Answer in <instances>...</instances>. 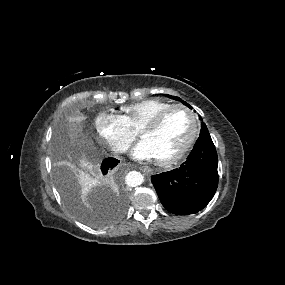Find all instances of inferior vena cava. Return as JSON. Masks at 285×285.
Masks as SVG:
<instances>
[{
    "label": "inferior vena cava",
    "instance_id": "obj_1",
    "mask_svg": "<svg viewBox=\"0 0 285 285\" xmlns=\"http://www.w3.org/2000/svg\"><path fill=\"white\" fill-rule=\"evenodd\" d=\"M112 150L115 153H122V152H125L127 150V146L125 144L120 143V142H115L112 144Z\"/></svg>",
    "mask_w": 285,
    "mask_h": 285
}]
</instances>
